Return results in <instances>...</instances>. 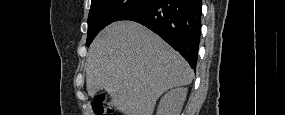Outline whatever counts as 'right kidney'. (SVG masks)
<instances>
[{
  "mask_svg": "<svg viewBox=\"0 0 285 115\" xmlns=\"http://www.w3.org/2000/svg\"><path fill=\"white\" fill-rule=\"evenodd\" d=\"M187 95V88H175L160 100L157 115H179Z\"/></svg>",
  "mask_w": 285,
  "mask_h": 115,
  "instance_id": "right-kidney-1",
  "label": "right kidney"
}]
</instances>
